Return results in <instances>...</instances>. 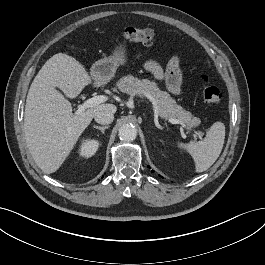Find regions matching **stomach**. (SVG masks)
I'll use <instances>...</instances> for the list:
<instances>
[{
    "instance_id": "0dacf381",
    "label": "stomach",
    "mask_w": 265,
    "mask_h": 265,
    "mask_svg": "<svg viewBox=\"0 0 265 265\" xmlns=\"http://www.w3.org/2000/svg\"><path fill=\"white\" fill-rule=\"evenodd\" d=\"M127 61L125 45L116 46L112 55L93 63L90 74L98 85L107 83L114 76L117 68Z\"/></svg>"
}]
</instances>
